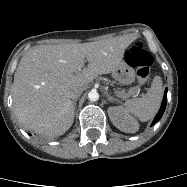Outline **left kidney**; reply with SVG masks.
I'll return each mask as SVG.
<instances>
[{"label": "left kidney", "instance_id": "1", "mask_svg": "<svg viewBox=\"0 0 187 187\" xmlns=\"http://www.w3.org/2000/svg\"><path fill=\"white\" fill-rule=\"evenodd\" d=\"M108 114L111 122L119 130L126 133H135L139 129L138 122L124 110L122 107L108 108Z\"/></svg>", "mask_w": 187, "mask_h": 187}]
</instances>
